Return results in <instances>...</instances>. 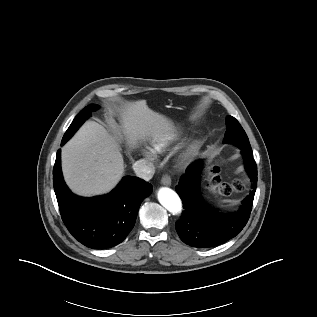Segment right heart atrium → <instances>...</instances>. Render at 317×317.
I'll return each mask as SVG.
<instances>
[{"label": "right heart atrium", "instance_id": "1", "mask_svg": "<svg viewBox=\"0 0 317 317\" xmlns=\"http://www.w3.org/2000/svg\"><path fill=\"white\" fill-rule=\"evenodd\" d=\"M143 155H144L145 157H147V158H151V154H150L149 152H147V151H144V152H143Z\"/></svg>", "mask_w": 317, "mask_h": 317}]
</instances>
